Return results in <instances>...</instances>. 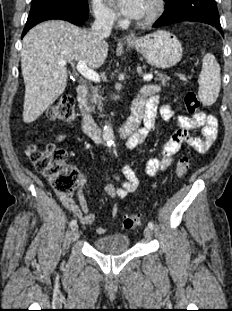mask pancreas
I'll return each mask as SVG.
<instances>
[{
    "label": "pancreas",
    "mask_w": 232,
    "mask_h": 311,
    "mask_svg": "<svg viewBox=\"0 0 232 311\" xmlns=\"http://www.w3.org/2000/svg\"><path fill=\"white\" fill-rule=\"evenodd\" d=\"M154 73L157 74L155 81H160L162 85L165 86L167 82L166 75L158 73L157 71H154ZM102 100H104V98L100 95L99 88L94 87L88 97L84 98L83 101L90 110H94L95 108H97L99 111H102Z\"/></svg>",
    "instance_id": "cf45deb5"
}]
</instances>
